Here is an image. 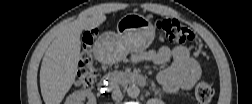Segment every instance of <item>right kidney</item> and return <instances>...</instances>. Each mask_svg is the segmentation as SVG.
Masks as SVG:
<instances>
[{
	"instance_id": "1",
	"label": "right kidney",
	"mask_w": 252,
	"mask_h": 104,
	"mask_svg": "<svg viewBox=\"0 0 252 104\" xmlns=\"http://www.w3.org/2000/svg\"><path fill=\"white\" fill-rule=\"evenodd\" d=\"M86 97L90 99L94 98L90 91H76L67 97L66 104H81Z\"/></svg>"
}]
</instances>
